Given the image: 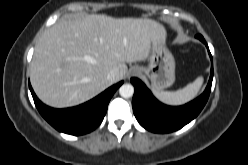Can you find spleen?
I'll list each match as a JSON object with an SVG mask.
<instances>
[{
    "label": "spleen",
    "mask_w": 248,
    "mask_h": 165,
    "mask_svg": "<svg viewBox=\"0 0 248 165\" xmlns=\"http://www.w3.org/2000/svg\"><path fill=\"white\" fill-rule=\"evenodd\" d=\"M203 77L196 78L193 83L188 84L183 89L175 92L158 91L153 89L154 95L163 103L168 105H182L192 100L199 92L202 84Z\"/></svg>",
    "instance_id": "spleen-1"
}]
</instances>
